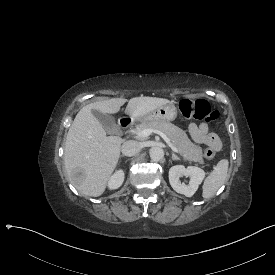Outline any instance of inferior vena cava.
<instances>
[{"instance_id":"602c4592","label":"inferior vena cava","mask_w":275,"mask_h":275,"mask_svg":"<svg viewBox=\"0 0 275 275\" xmlns=\"http://www.w3.org/2000/svg\"><path fill=\"white\" fill-rule=\"evenodd\" d=\"M141 149L140 143L135 140H129L123 143L122 145V153L125 156H134Z\"/></svg>"}]
</instances>
